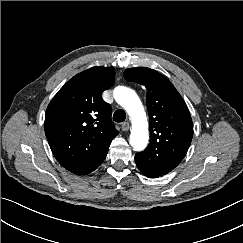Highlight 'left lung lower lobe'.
Segmentation results:
<instances>
[{
    "label": "left lung lower lobe",
    "mask_w": 243,
    "mask_h": 243,
    "mask_svg": "<svg viewBox=\"0 0 243 243\" xmlns=\"http://www.w3.org/2000/svg\"><path fill=\"white\" fill-rule=\"evenodd\" d=\"M143 174H144L145 176H147V177H150V178H157V177H159L158 175L150 174V173H145V172H143Z\"/></svg>",
    "instance_id": "obj_1"
}]
</instances>
